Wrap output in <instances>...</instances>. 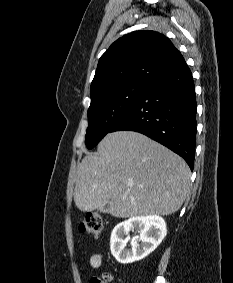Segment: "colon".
I'll return each mask as SVG.
<instances>
[{"instance_id":"1","label":"colon","mask_w":233,"mask_h":283,"mask_svg":"<svg viewBox=\"0 0 233 283\" xmlns=\"http://www.w3.org/2000/svg\"><path fill=\"white\" fill-rule=\"evenodd\" d=\"M103 223L99 215L88 214L80 224V232L86 236L98 237L102 231ZM111 276L104 274L102 277H95L90 280V283H109Z\"/></svg>"}]
</instances>
